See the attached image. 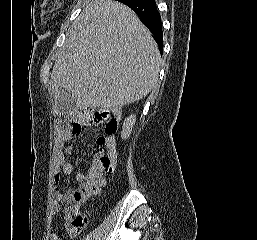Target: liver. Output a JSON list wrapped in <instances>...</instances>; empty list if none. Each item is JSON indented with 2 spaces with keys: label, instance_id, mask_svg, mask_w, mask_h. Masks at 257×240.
I'll return each mask as SVG.
<instances>
[{
  "label": "liver",
  "instance_id": "liver-1",
  "mask_svg": "<svg viewBox=\"0 0 257 240\" xmlns=\"http://www.w3.org/2000/svg\"><path fill=\"white\" fill-rule=\"evenodd\" d=\"M161 57L151 33L127 6L89 3L66 33L49 83L54 101L71 93L78 108L121 114L158 81Z\"/></svg>",
  "mask_w": 257,
  "mask_h": 240
}]
</instances>
